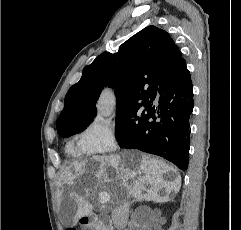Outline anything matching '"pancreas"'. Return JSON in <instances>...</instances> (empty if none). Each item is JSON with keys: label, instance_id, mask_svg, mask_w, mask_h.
I'll use <instances>...</instances> for the list:
<instances>
[{"label": "pancreas", "instance_id": "obj_1", "mask_svg": "<svg viewBox=\"0 0 241 230\" xmlns=\"http://www.w3.org/2000/svg\"><path fill=\"white\" fill-rule=\"evenodd\" d=\"M94 230H109L108 227L102 222V221H98L95 224V228Z\"/></svg>", "mask_w": 241, "mask_h": 230}]
</instances>
